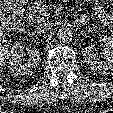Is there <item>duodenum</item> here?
Here are the masks:
<instances>
[{
  "label": "duodenum",
  "instance_id": "410a0bca",
  "mask_svg": "<svg viewBox=\"0 0 113 113\" xmlns=\"http://www.w3.org/2000/svg\"><path fill=\"white\" fill-rule=\"evenodd\" d=\"M77 21H78L79 23H84V22L86 21V19H85L84 16H78V17H77Z\"/></svg>",
  "mask_w": 113,
  "mask_h": 113
}]
</instances>
